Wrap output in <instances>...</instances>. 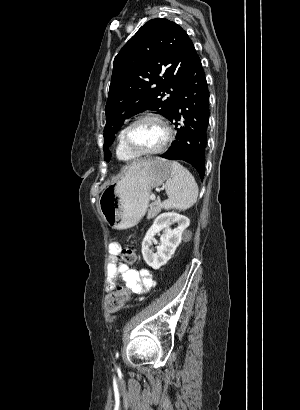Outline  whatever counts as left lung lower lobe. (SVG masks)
I'll return each instance as SVG.
<instances>
[{
    "label": "left lung lower lobe",
    "instance_id": "obj_1",
    "mask_svg": "<svg viewBox=\"0 0 300 410\" xmlns=\"http://www.w3.org/2000/svg\"><path fill=\"white\" fill-rule=\"evenodd\" d=\"M169 120L175 121L176 139L160 157L190 163L203 179L209 124V90L199 56L195 58L178 89ZM178 121H182V124Z\"/></svg>",
    "mask_w": 300,
    "mask_h": 410
}]
</instances>
